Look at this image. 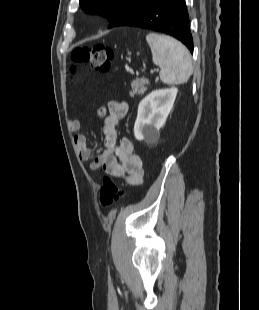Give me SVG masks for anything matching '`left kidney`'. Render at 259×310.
Segmentation results:
<instances>
[{
    "mask_svg": "<svg viewBox=\"0 0 259 310\" xmlns=\"http://www.w3.org/2000/svg\"><path fill=\"white\" fill-rule=\"evenodd\" d=\"M178 89H159L148 94L138 106L137 119L134 125V135L137 140L157 138L159 130L173 108Z\"/></svg>",
    "mask_w": 259,
    "mask_h": 310,
    "instance_id": "left-kidney-1",
    "label": "left kidney"
}]
</instances>
